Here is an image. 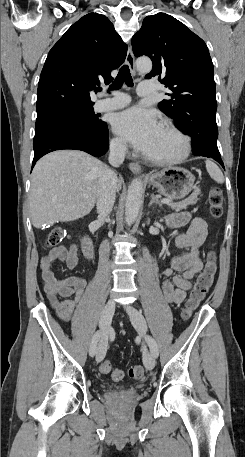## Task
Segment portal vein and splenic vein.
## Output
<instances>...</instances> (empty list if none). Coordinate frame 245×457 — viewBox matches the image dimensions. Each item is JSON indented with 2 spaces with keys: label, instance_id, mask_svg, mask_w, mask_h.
Here are the masks:
<instances>
[{
  "label": "portal vein and splenic vein",
  "instance_id": "1",
  "mask_svg": "<svg viewBox=\"0 0 245 457\" xmlns=\"http://www.w3.org/2000/svg\"><path fill=\"white\" fill-rule=\"evenodd\" d=\"M161 202H172L170 198H161Z\"/></svg>",
  "mask_w": 245,
  "mask_h": 457
}]
</instances>
